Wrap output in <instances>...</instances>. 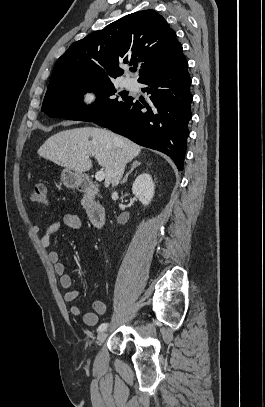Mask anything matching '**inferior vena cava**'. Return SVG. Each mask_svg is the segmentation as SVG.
<instances>
[{
	"mask_svg": "<svg viewBox=\"0 0 265 407\" xmlns=\"http://www.w3.org/2000/svg\"><path fill=\"white\" fill-rule=\"evenodd\" d=\"M125 169V160L122 157L121 153L117 151L116 157H115V166H114V171L112 174V179L111 183L112 186H117L122 178V175L124 173Z\"/></svg>",
	"mask_w": 265,
	"mask_h": 407,
	"instance_id": "1",
	"label": "inferior vena cava"
}]
</instances>
